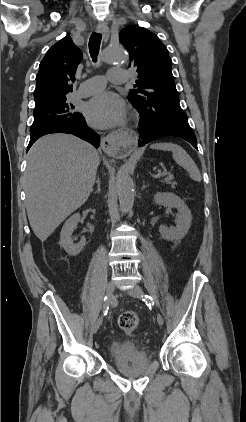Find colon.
Listing matches in <instances>:
<instances>
[{"label":"colon","instance_id":"colon-1","mask_svg":"<svg viewBox=\"0 0 246 422\" xmlns=\"http://www.w3.org/2000/svg\"><path fill=\"white\" fill-rule=\"evenodd\" d=\"M119 327L126 333H132L138 326V317L134 312L126 311L119 316Z\"/></svg>","mask_w":246,"mask_h":422}]
</instances>
